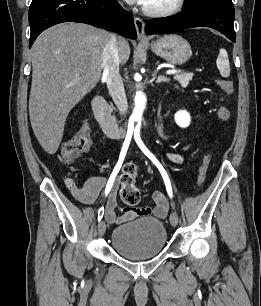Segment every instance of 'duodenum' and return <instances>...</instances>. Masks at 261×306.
<instances>
[{
  "mask_svg": "<svg viewBox=\"0 0 261 306\" xmlns=\"http://www.w3.org/2000/svg\"><path fill=\"white\" fill-rule=\"evenodd\" d=\"M92 109L105 134L112 138H117L121 135L122 129L119 127L115 117L111 114L107 102L102 96H96L92 100Z\"/></svg>",
  "mask_w": 261,
  "mask_h": 306,
  "instance_id": "obj_1",
  "label": "duodenum"
}]
</instances>
